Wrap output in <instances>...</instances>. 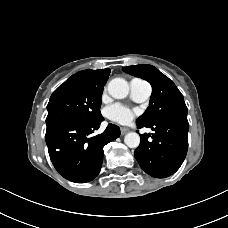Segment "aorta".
<instances>
[{
    "label": "aorta",
    "instance_id": "aorta-1",
    "mask_svg": "<svg viewBox=\"0 0 228 228\" xmlns=\"http://www.w3.org/2000/svg\"><path fill=\"white\" fill-rule=\"evenodd\" d=\"M108 93L115 99H123L129 93V85L123 78L112 79L107 86ZM124 142L129 148H137L140 144V136L135 132L125 135Z\"/></svg>",
    "mask_w": 228,
    "mask_h": 228
}]
</instances>
